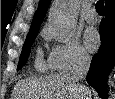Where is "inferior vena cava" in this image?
I'll use <instances>...</instances> for the list:
<instances>
[{"label":"inferior vena cava","mask_w":115,"mask_h":99,"mask_svg":"<svg viewBox=\"0 0 115 99\" xmlns=\"http://www.w3.org/2000/svg\"><path fill=\"white\" fill-rule=\"evenodd\" d=\"M91 58L88 54L79 53L72 64L71 77L80 86L84 94L88 93L87 87L79 84V81L85 79L90 67Z\"/></svg>","instance_id":"obj_1"}]
</instances>
